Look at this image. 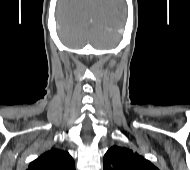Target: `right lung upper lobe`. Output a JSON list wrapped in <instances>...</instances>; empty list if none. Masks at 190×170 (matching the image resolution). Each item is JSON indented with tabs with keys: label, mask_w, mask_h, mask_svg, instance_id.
<instances>
[{
	"label": "right lung upper lobe",
	"mask_w": 190,
	"mask_h": 170,
	"mask_svg": "<svg viewBox=\"0 0 190 170\" xmlns=\"http://www.w3.org/2000/svg\"><path fill=\"white\" fill-rule=\"evenodd\" d=\"M27 170H75V164L68 152L52 148L31 162Z\"/></svg>",
	"instance_id": "cb5924a9"
}]
</instances>
